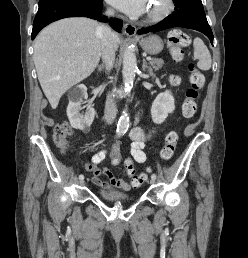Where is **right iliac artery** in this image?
I'll return each mask as SVG.
<instances>
[{
  "mask_svg": "<svg viewBox=\"0 0 248 258\" xmlns=\"http://www.w3.org/2000/svg\"><path fill=\"white\" fill-rule=\"evenodd\" d=\"M79 179L80 180H83L84 179V176L81 174V175H79Z\"/></svg>",
  "mask_w": 248,
  "mask_h": 258,
  "instance_id": "82829eb1",
  "label": "right iliac artery"
}]
</instances>
